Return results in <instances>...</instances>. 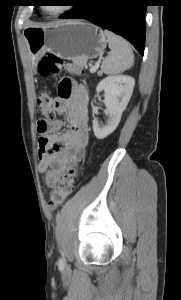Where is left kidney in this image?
I'll use <instances>...</instances> for the list:
<instances>
[{
    "label": "left kidney",
    "instance_id": "1",
    "mask_svg": "<svg viewBox=\"0 0 181 300\" xmlns=\"http://www.w3.org/2000/svg\"><path fill=\"white\" fill-rule=\"evenodd\" d=\"M134 85V78L127 75L108 76L99 82L96 91L97 93L105 92L104 104L109 118L105 125H99L97 119L93 120V131L96 138L104 139L117 128L133 93Z\"/></svg>",
    "mask_w": 181,
    "mask_h": 300
}]
</instances>
